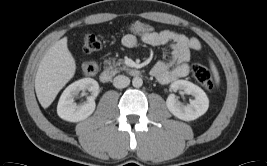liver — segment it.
Returning <instances> with one entry per match:
<instances>
[{"instance_id":"obj_1","label":"liver","mask_w":267,"mask_h":166,"mask_svg":"<svg viewBox=\"0 0 267 166\" xmlns=\"http://www.w3.org/2000/svg\"><path fill=\"white\" fill-rule=\"evenodd\" d=\"M75 71L76 63L64 37L45 53L35 76V91L43 108L52 104L59 91L73 78Z\"/></svg>"}]
</instances>
